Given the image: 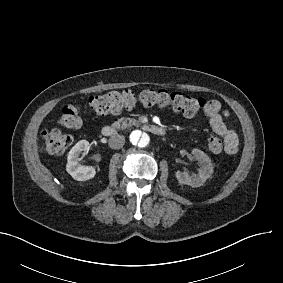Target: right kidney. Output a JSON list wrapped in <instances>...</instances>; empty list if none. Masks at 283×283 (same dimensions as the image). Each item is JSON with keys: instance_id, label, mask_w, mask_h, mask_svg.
<instances>
[{"instance_id": "1", "label": "right kidney", "mask_w": 283, "mask_h": 283, "mask_svg": "<svg viewBox=\"0 0 283 283\" xmlns=\"http://www.w3.org/2000/svg\"><path fill=\"white\" fill-rule=\"evenodd\" d=\"M89 142L79 141L69 152L66 171L76 180H86L95 175L93 166H82L79 164V155L83 151H89Z\"/></svg>"}]
</instances>
